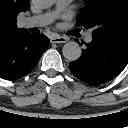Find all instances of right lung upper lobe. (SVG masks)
Instances as JSON below:
<instances>
[{
  "label": "right lung upper lobe",
  "instance_id": "1",
  "mask_svg": "<svg viewBox=\"0 0 128 128\" xmlns=\"http://www.w3.org/2000/svg\"><path fill=\"white\" fill-rule=\"evenodd\" d=\"M30 0H0V41L26 31L17 27V16L29 8Z\"/></svg>",
  "mask_w": 128,
  "mask_h": 128
}]
</instances>
